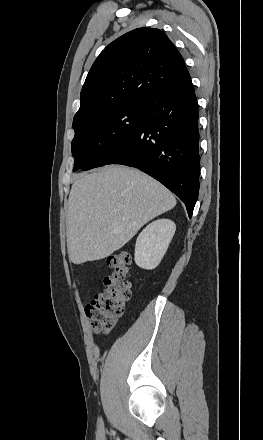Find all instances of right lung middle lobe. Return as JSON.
<instances>
[{
	"mask_svg": "<svg viewBox=\"0 0 263 440\" xmlns=\"http://www.w3.org/2000/svg\"><path fill=\"white\" fill-rule=\"evenodd\" d=\"M146 116V102H132L94 114L75 130L71 151L76 168L89 170L106 165L115 149L139 126Z\"/></svg>",
	"mask_w": 263,
	"mask_h": 440,
	"instance_id": "obj_1",
	"label": "right lung middle lobe"
}]
</instances>
